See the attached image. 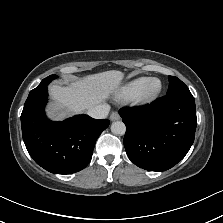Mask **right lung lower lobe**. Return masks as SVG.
Instances as JSON below:
<instances>
[{
	"mask_svg": "<svg viewBox=\"0 0 223 223\" xmlns=\"http://www.w3.org/2000/svg\"><path fill=\"white\" fill-rule=\"evenodd\" d=\"M47 100V85L29 93L21 114L25 146L34 161L51 173L78 172L88 165L97 138L110 122L87 115L50 121L44 113Z\"/></svg>",
	"mask_w": 223,
	"mask_h": 223,
	"instance_id": "obj_1",
	"label": "right lung lower lobe"
}]
</instances>
